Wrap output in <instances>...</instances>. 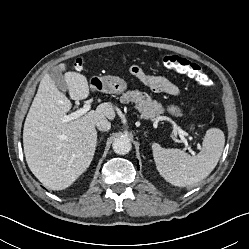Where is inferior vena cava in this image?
<instances>
[{
  "label": "inferior vena cava",
  "mask_w": 249,
  "mask_h": 249,
  "mask_svg": "<svg viewBox=\"0 0 249 249\" xmlns=\"http://www.w3.org/2000/svg\"><path fill=\"white\" fill-rule=\"evenodd\" d=\"M96 126L100 131H108L111 128V123L106 118H103L96 122Z\"/></svg>",
  "instance_id": "602c4592"
}]
</instances>
